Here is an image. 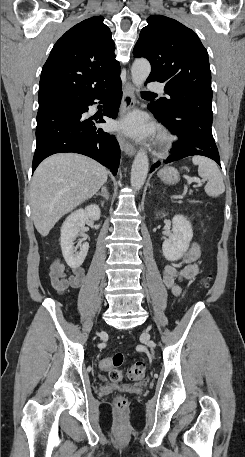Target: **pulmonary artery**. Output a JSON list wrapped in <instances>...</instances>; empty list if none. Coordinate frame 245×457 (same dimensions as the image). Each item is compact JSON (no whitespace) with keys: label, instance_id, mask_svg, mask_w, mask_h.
Wrapping results in <instances>:
<instances>
[{"label":"pulmonary artery","instance_id":"1","mask_svg":"<svg viewBox=\"0 0 245 457\" xmlns=\"http://www.w3.org/2000/svg\"><path fill=\"white\" fill-rule=\"evenodd\" d=\"M144 87H145V89H150V90H161L160 96L164 99L169 96V91L167 89H163L164 88L163 81L145 80Z\"/></svg>","mask_w":245,"mask_h":457}]
</instances>
